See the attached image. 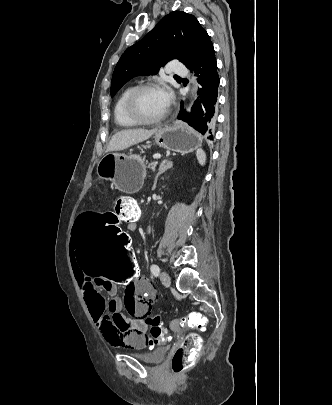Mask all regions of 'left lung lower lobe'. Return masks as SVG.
<instances>
[{"label":"left lung lower lobe","instance_id":"obj_1","mask_svg":"<svg viewBox=\"0 0 332 405\" xmlns=\"http://www.w3.org/2000/svg\"><path fill=\"white\" fill-rule=\"evenodd\" d=\"M200 89L198 98L195 101L191 113L187 114L183 110V103L178 119L186 121L190 126L201 134L209 135L213 139L212 132L217 118V97L219 76L217 73V63L213 44L211 43L192 65Z\"/></svg>","mask_w":332,"mask_h":405}]
</instances>
